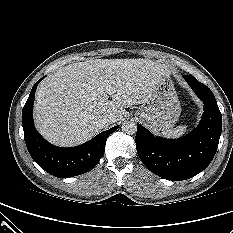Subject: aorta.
I'll return each instance as SVG.
<instances>
[{"label": "aorta", "mask_w": 233, "mask_h": 233, "mask_svg": "<svg viewBox=\"0 0 233 233\" xmlns=\"http://www.w3.org/2000/svg\"><path fill=\"white\" fill-rule=\"evenodd\" d=\"M121 129L122 131L125 133V134H129V135H132V134H135L136 131H137V126H136V123L132 122V121H125L122 126H121Z\"/></svg>", "instance_id": "aorta-1"}]
</instances>
